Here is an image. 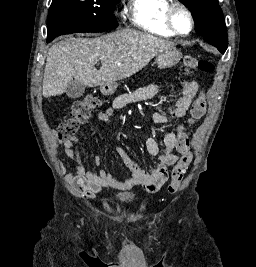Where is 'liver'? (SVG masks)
<instances>
[{"label": "liver", "mask_w": 256, "mask_h": 267, "mask_svg": "<svg viewBox=\"0 0 256 267\" xmlns=\"http://www.w3.org/2000/svg\"><path fill=\"white\" fill-rule=\"evenodd\" d=\"M166 46L174 44L137 30H118L95 40H62L48 50L42 96H61L73 78L89 88L129 78L147 66ZM99 60L102 66L96 70L95 64Z\"/></svg>", "instance_id": "1"}]
</instances>
